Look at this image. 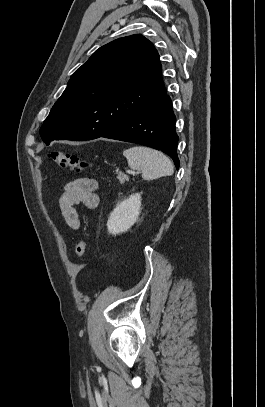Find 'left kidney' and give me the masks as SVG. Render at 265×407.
Wrapping results in <instances>:
<instances>
[{
    "mask_svg": "<svg viewBox=\"0 0 265 407\" xmlns=\"http://www.w3.org/2000/svg\"><path fill=\"white\" fill-rule=\"evenodd\" d=\"M141 210V194H132L118 203L107 221L109 233L117 235L128 231L138 220Z\"/></svg>",
    "mask_w": 265,
    "mask_h": 407,
    "instance_id": "5707ae66",
    "label": "left kidney"
}]
</instances>
